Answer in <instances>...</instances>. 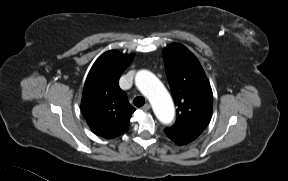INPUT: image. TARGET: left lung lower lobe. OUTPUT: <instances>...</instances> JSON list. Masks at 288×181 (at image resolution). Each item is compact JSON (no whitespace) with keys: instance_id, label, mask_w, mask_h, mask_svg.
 I'll return each instance as SVG.
<instances>
[{"instance_id":"obj_1","label":"left lung lower lobe","mask_w":288,"mask_h":181,"mask_svg":"<svg viewBox=\"0 0 288 181\" xmlns=\"http://www.w3.org/2000/svg\"><path fill=\"white\" fill-rule=\"evenodd\" d=\"M165 133L172 141H174L178 145L188 144L189 142L197 138V136L177 135V134H172L168 132H165Z\"/></svg>"}]
</instances>
